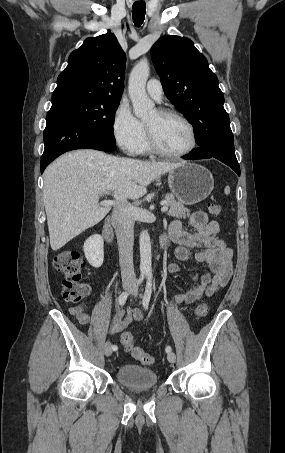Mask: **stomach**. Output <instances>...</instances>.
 <instances>
[{
	"label": "stomach",
	"instance_id": "stomach-1",
	"mask_svg": "<svg viewBox=\"0 0 285 453\" xmlns=\"http://www.w3.org/2000/svg\"><path fill=\"white\" fill-rule=\"evenodd\" d=\"M168 185L180 203L194 205L210 195L214 188V179L205 167L196 163L182 162L169 171Z\"/></svg>",
	"mask_w": 285,
	"mask_h": 453
}]
</instances>
